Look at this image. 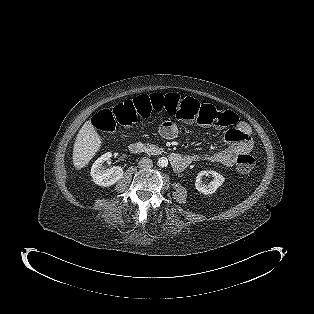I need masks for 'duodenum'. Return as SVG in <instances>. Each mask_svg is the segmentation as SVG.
Listing matches in <instances>:
<instances>
[{
	"mask_svg": "<svg viewBox=\"0 0 314 314\" xmlns=\"http://www.w3.org/2000/svg\"><path fill=\"white\" fill-rule=\"evenodd\" d=\"M129 151L132 154H142L146 151V147L143 143L141 142H134L130 144L129 146ZM171 167L173 168L174 171L176 172H181L184 169L187 168V166L191 163L192 159L186 156H182L178 153H170L168 155Z\"/></svg>",
	"mask_w": 314,
	"mask_h": 314,
	"instance_id": "1",
	"label": "duodenum"
}]
</instances>
